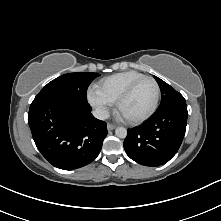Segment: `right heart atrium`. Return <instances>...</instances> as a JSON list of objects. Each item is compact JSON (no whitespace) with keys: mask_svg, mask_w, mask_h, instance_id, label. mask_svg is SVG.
Here are the masks:
<instances>
[{"mask_svg":"<svg viewBox=\"0 0 221 221\" xmlns=\"http://www.w3.org/2000/svg\"><path fill=\"white\" fill-rule=\"evenodd\" d=\"M87 99L101 116H106L108 114L112 103L100 95L97 90L89 89L87 92Z\"/></svg>","mask_w":221,"mask_h":221,"instance_id":"obj_1","label":"right heart atrium"}]
</instances>
